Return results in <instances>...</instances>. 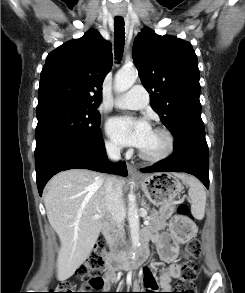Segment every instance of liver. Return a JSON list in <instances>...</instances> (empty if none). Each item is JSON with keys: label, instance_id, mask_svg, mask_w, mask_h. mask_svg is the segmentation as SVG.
I'll return each mask as SVG.
<instances>
[{"label": "liver", "instance_id": "1", "mask_svg": "<svg viewBox=\"0 0 245 293\" xmlns=\"http://www.w3.org/2000/svg\"><path fill=\"white\" fill-rule=\"evenodd\" d=\"M186 180L184 174H176ZM107 177L95 171L70 169L55 175L47 184L43 199L47 218L61 247L57 257V279L65 281L90 255L109 217L105 205ZM121 186L124 179H118ZM100 215L99 218H93Z\"/></svg>", "mask_w": 245, "mask_h": 293}]
</instances>
